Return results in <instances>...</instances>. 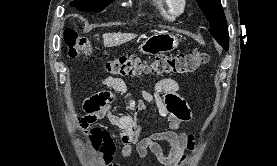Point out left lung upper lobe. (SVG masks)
I'll use <instances>...</instances> for the list:
<instances>
[{
    "label": "left lung upper lobe",
    "instance_id": "5c2ea615",
    "mask_svg": "<svg viewBox=\"0 0 277 166\" xmlns=\"http://www.w3.org/2000/svg\"><path fill=\"white\" fill-rule=\"evenodd\" d=\"M210 23L209 31L217 42L228 51V26L220 0H196Z\"/></svg>",
    "mask_w": 277,
    "mask_h": 166
}]
</instances>
